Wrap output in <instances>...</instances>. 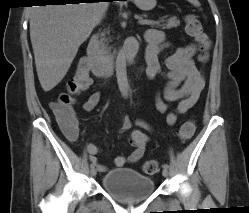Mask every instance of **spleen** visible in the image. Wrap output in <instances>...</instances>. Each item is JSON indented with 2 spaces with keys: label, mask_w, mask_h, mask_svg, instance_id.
Returning <instances> with one entry per match:
<instances>
[{
  "label": "spleen",
  "mask_w": 249,
  "mask_h": 213,
  "mask_svg": "<svg viewBox=\"0 0 249 213\" xmlns=\"http://www.w3.org/2000/svg\"><path fill=\"white\" fill-rule=\"evenodd\" d=\"M188 2L192 3L193 5L199 7L200 6V3L198 0H187Z\"/></svg>",
  "instance_id": "spleen-1"
}]
</instances>
